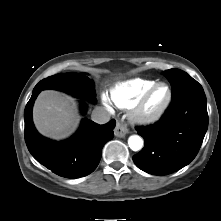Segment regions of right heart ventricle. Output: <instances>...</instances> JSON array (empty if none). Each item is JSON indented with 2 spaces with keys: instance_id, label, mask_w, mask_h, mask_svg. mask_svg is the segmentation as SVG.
Here are the masks:
<instances>
[{
  "instance_id": "e07e8e85",
  "label": "right heart ventricle",
  "mask_w": 221,
  "mask_h": 221,
  "mask_svg": "<svg viewBox=\"0 0 221 221\" xmlns=\"http://www.w3.org/2000/svg\"><path fill=\"white\" fill-rule=\"evenodd\" d=\"M155 83V80L144 78H133L120 82L110 90V99L117 107L130 109Z\"/></svg>"
}]
</instances>
